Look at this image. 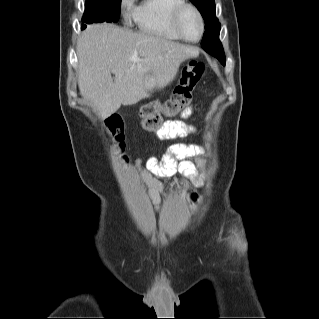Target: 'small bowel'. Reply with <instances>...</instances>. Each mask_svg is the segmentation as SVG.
Instances as JSON below:
<instances>
[{
  "mask_svg": "<svg viewBox=\"0 0 319 319\" xmlns=\"http://www.w3.org/2000/svg\"><path fill=\"white\" fill-rule=\"evenodd\" d=\"M191 114L192 109L188 108L182 113V118L186 119ZM193 131L194 128L187 125L184 121H166L161 129L155 133V136L161 141H172L183 138ZM200 153L201 147L197 144L173 143L167 148L166 153L161 159L150 157L145 161L146 170L142 176L144 183L149 189V194L156 210L160 208L163 192V184L158 178L178 170L190 179H194L196 172L189 159ZM138 164H142V161L138 160Z\"/></svg>",
  "mask_w": 319,
  "mask_h": 319,
  "instance_id": "c3829d8e",
  "label": "small bowel"
}]
</instances>
